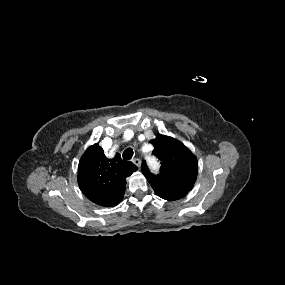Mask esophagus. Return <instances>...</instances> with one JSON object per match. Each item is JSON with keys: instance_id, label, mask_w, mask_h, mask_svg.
<instances>
[{"instance_id": "34e87169", "label": "esophagus", "mask_w": 285, "mask_h": 285, "mask_svg": "<svg viewBox=\"0 0 285 285\" xmlns=\"http://www.w3.org/2000/svg\"><path fill=\"white\" fill-rule=\"evenodd\" d=\"M132 162H133L138 168H140V166H141V161H140L139 158H134V159L132 160Z\"/></svg>"}]
</instances>
